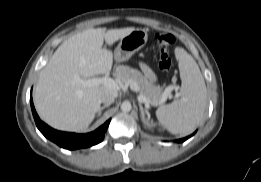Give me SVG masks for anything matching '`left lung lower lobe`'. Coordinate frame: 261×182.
<instances>
[{"mask_svg": "<svg viewBox=\"0 0 261 182\" xmlns=\"http://www.w3.org/2000/svg\"><path fill=\"white\" fill-rule=\"evenodd\" d=\"M193 135V134H192ZM192 135L188 136V137H185V138H182L180 140H178L177 142H184L185 140H187L189 137H191Z\"/></svg>", "mask_w": 261, "mask_h": 182, "instance_id": "0a47b994", "label": "left lung lower lobe"}]
</instances>
